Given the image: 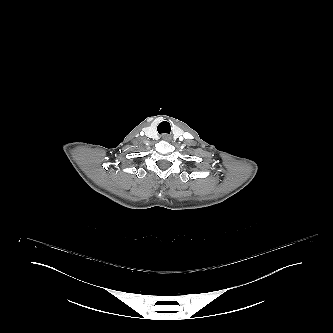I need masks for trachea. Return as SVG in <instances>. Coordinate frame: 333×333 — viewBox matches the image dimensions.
<instances>
[{"mask_svg": "<svg viewBox=\"0 0 333 333\" xmlns=\"http://www.w3.org/2000/svg\"><path fill=\"white\" fill-rule=\"evenodd\" d=\"M159 134H169L170 133V124L166 121L161 122L157 127Z\"/></svg>", "mask_w": 333, "mask_h": 333, "instance_id": "trachea-1", "label": "trachea"}]
</instances>
